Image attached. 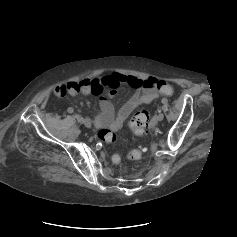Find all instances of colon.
Wrapping results in <instances>:
<instances>
[{"label":"colon","mask_w":237,"mask_h":237,"mask_svg":"<svg viewBox=\"0 0 237 237\" xmlns=\"http://www.w3.org/2000/svg\"><path fill=\"white\" fill-rule=\"evenodd\" d=\"M158 89L161 94L165 96H172L174 93V89L171 84L166 81H159ZM151 116L147 110H140L136 112L130 120V128L133 133L139 137L140 139H144L147 135L146 128L148 126L149 120ZM98 139L105 143H113L117 139V135L114 131L110 129H100L97 133ZM143 152V145L131 150L128 153L129 159H138L141 157ZM112 160L115 163L120 162V156L118 154H114L112 156Z\"/></svg>","instance_id":"1"}]
</instances>
